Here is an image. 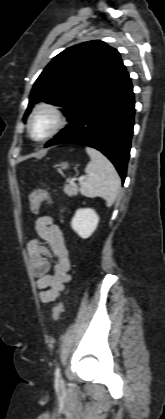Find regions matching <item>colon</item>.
I'll return each instance as SVG.
<instances>
[{
    "label": "colon",
    "instance_id": "colon-1",
    "mask_svg": "<svg viewBox=\"0 0 165 419\" xmlns=\"http://www.w3.org/2000/svg\"><path fill=\"white\" fill-rule=\"evenodd\" d=\"M50 193L42 188L34 189L29 196V204L32 212L38 213L41 204L44 201H51ZM63 312L62 302H58L52 310V316L54 320H58Z\"/></svg>",
    "mask_w": 165,
    "mask_h": 419
}]
</instances>
